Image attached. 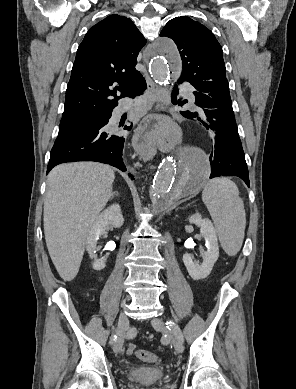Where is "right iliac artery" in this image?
Instances as JSON below:
<instances>
[{
	"label": "right iliac artery",
	"mask_w": 296,
	"mask_h": 389,
	"mask_svg": "<svg viewBox=\"0 0 296 389\" xmlns=\"http://www.w3.org/2000/svg\"><path fill=\"white\" fill-rule=\"evenodd\" d=\"M117 337L116 336H114V341H115V339H116Z\"/></svg>",
	"instance_id": "82829eb1"
}]
</instances>
